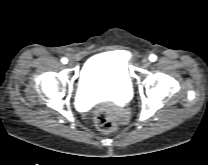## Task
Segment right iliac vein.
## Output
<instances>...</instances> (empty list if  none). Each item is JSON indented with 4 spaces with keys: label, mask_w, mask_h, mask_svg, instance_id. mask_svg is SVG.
I'll list each match as a JSON object with an SVG mask.
<instances>
[{
    "label": "right iliac vein",
    "mask_w": 208,
    "mask_h": 165,
    "mask_svg": "<svg viewBox=\"0 0 208 165\" xmlns=\"http://www.w3.org/2000/svg\"><path fill=\"white\" fill-rule=\"evenodd\" d=\"M68 65H72V62H68Z\"/></svg>",
    "instance_id": "right-iliac-vein-1"
}]
</instances>
